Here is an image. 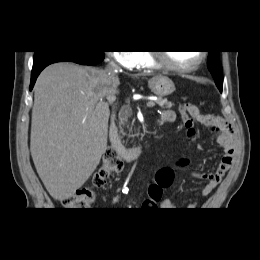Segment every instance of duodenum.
<instances>
[{"label": "duodenum", "mask_w": 260, "mask_h": 260, "mask_svg": "<svg viewBox=\"0 0 260 260\" xmlns=\"http://www.w3.org/2000/svg\"><path fill=\"white\" fill-rule=\"evenodd\" d=\"M109 137L111 142V150L114 151L124 161L130 162L139 158L145 152V148L142 145L127 147L123 145L117 134V129L114 123L110 125Z\"/></svg>", "instance_id": "duodenum-1"}]
</instances>
